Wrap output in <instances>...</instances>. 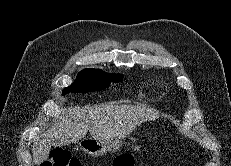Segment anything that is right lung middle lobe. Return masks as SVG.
<instances>
[{"mask_svg": "<svg viewBox=\"0 0 231 166\" xmlns=\"http://www.w3.org/2000/svg\"><path fill=\"white\" fill-rule=\"evenodd\" d=\"M123 79L120 74H108L100 69H84L78 73L76 80L63 89L62 95L67 93H85L106 89L111 82L118 83Z\"/></svg>", "mask_w": 231, "mask_h": 166, "instance_id": "1", "label": "right lung middle lobe"}]
</instances>
